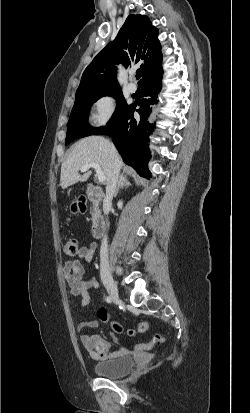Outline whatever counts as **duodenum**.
I'll use <instances>...</instances> for the list:
<instances>
[{
  "label": "duodenum",
  "mask_w": 250,
  "mask_h": 413,
  "mask_svg": "<svg viewBox=\"0 0 250 413\" xmlns=\"http://www.w3.org/2000/svg\"><path fill=\"white\" fill-rule=\"evenodd\" d=\"M86 194L89 198L93 200H100L103 197V192L93 185H89L86 189ZM105 231V220L103 216L100 213L95 214L93 221H92V226H91V232L93 237L99 238L104 234Z\"/></svg>",
  "instance_id": "obj_1"
}]
</instances>
